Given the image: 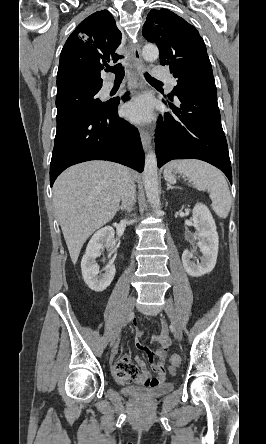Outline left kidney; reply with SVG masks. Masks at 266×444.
<instances>
[{"mask_svg": "<svg viewBox=\"0 0 266 444\" xmlns=\"http://www.w3.org/2000/svg\"><path fill=\"white\" fill-rule=\"evenodd\" d=\"M193 224L198 232L197 245L203 256L201 262L196 264L191 260L193 254L185 250L182 254V262L188 275L200 277L211 272L216 265L219 238L215 221L206 205L197 203L194 206Z\"/></svg>", "mask_w": 266, "mask_h": 444, "instance_id": "1", "label": "left kidney"}]
</instances>
